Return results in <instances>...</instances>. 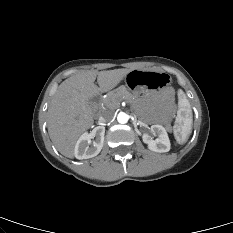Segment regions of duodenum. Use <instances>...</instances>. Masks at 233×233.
I'll list each match as a JSON object with an SVG mask.
<instances>
[{
  "instance_id": "obj_1",
  "label": "duodenum",
  "mask_w": 233,
  "mask_h": 233,
  "mask_svg": "<svg viewBox=\"0 0 233 233\" xmlns=\"http://www.w3.org/2000/svg\"><path fill=\"white\" fill-rule=\"evenodd\" d=\"M91 101L92 104L94 105L95 111L98 112L100 106V94L99 93L94 94Z\"/></svg>"
}]
</instances>
